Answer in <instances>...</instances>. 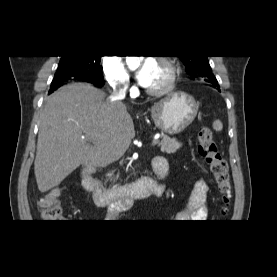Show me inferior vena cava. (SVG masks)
I'll return each mask as SVG.
<instances>
[{
  "label": "inferior vena cava",
  "instance_id": "1",
  "mask_svg": "<svg viewBox=\"0 0 277 277\" xmlns=\"http://www.w3.org/2000/svg\"><path fill=\"white\" fill-rule=\"evenodd\" d=\"M126 90H127L126 85H117L110 96L111 100L112 101L123 100L126 96Z\"/></svg>",
  "mask_w": 277,
  "mask_h": 277
}]
</instances>
